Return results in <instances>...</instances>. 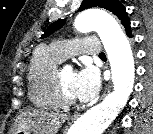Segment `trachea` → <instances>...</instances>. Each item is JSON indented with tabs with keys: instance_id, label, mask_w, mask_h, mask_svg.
Wrapping results in <instances>:
<instances>
[{
	"instance_id": "3493384b",
	"label": "trachea",
	"mask_w": 153,
	"mask_h": 134,
	"mask_svg": "<svg viewBox=\"0 0 153 134\" xmlns=\"http://www.w3.org/2000/svg\"><path fill=\"white\" fill-rule=\"evenodd\" d=\"M99 56H102L103 57V56H105V54L104 53H100Z\"/></svg>"
}]
</instances>
